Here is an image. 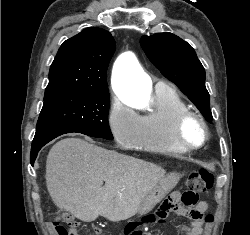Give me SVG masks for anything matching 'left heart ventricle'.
I'll use <instances>...</instances> for the list:
<instances>
[{"label": "left heart ventricle", "instance_id": "obj_1", "mask_svg": "<svg viewBox=\"0 0 250 235\" xmlns=\"http://www.w3.org/2000/svg\"><path fill=\"white\" fill-rule=\"evenodd\" d=\"M184 138L189 144H199L203 138V130L196 120H190L184 127Z\"/></svg>", "mask_w": 250, "mask_h": 235}]
</instances>
